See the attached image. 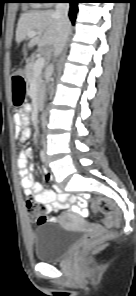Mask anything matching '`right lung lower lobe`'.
Returning <instances> with one entry per match:
<instances>
[{"label": "right lung lower lobe", "mask_w": 136, "mask_h": 296, "mask_svg": "<svg viewBox=\"0 0 136 296\" xmlns=\"http://www.w3.org/2000/svg\"><path fill=\"white\" fill-rule=\"evenodd\" d=\"M70 3V11H69V17L72 23L74 24L76 19V14L78 12V6L77 4L82 2L81 0H66Z\"/></svg>", "instance_id": "1"}]
</instances>
